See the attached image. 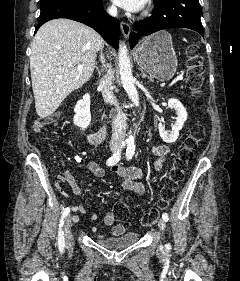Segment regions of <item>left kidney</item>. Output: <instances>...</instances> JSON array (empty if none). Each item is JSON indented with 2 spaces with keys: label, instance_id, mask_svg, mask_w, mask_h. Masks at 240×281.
Returning <instances> with one entry per match:
<instances>
[{
  "label": "left kidney",
  "instance_id": "5707ae66",
  "mask_svg": "<svg viewBox=\"0 0 240 281\" xmlns=\"http://www.w3.org/2000/svg\"><path fill=\"white\" fill-rule=\"evenodd\" d=\"M168 107L176 111L177 117L174 125H172V130L167 131L162 123H159L158 130L160 137L166 143H173L178 139L179 131L183 128L184 122L187 120V111L182 103L175 98L168 100Z\"/></svg>",
  "mask_w": 240,
  "mask_h": 281
}]
</instances>
